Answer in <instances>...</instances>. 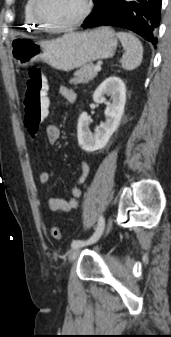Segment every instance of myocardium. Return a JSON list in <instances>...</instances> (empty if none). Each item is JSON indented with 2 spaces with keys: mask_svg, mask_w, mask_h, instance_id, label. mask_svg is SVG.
Returning a JSON list of instances; mask_svg holds the SVG:
<instances>
[{
  "mask_svg": "<svg viewBox=\"0 0 171 337\" xmlns=\"http://www.w3.org/2000/svg\"><path fill=\"white\" fill-rule=\"evenodd\" d=\"M43 0H35L34 2V15L38 23L45 29L51 32H61L71 28H74L81 24L83 21L87 19L92 10L91 0H84V8L81 14L75 18L74 20L64 23V24H52L48 22L42 12L41 5Z\"/></svg>",
  "mask_w": 171,
  "mask_h": 337,
  "instance_id": "myocardium-1",
  "label": "myocardium"
}]
</instances>
